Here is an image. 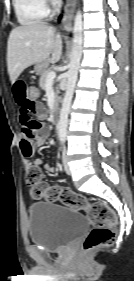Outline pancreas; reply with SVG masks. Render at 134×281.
Wrapping results in <instances>:
<instances>
[{"mask_svg": "<svg viewBox=\"0 0 134 281\" xmlns=\"http://www.w3.org/2000/svg\"><path fill=\"white\" fill-rule=\"evenodd\" d=\"M52 72V68H46L45 70H43L40 73V81H39V85L41 87V89H45V85H46V79H47V75ZM58 94H59V90L55 89V108L57 107V103H58Z\"/></svg>", "mask_w": 134, "mask_h": 281, "instance_id": "1", "label": "pancreas"}]
</instances>
